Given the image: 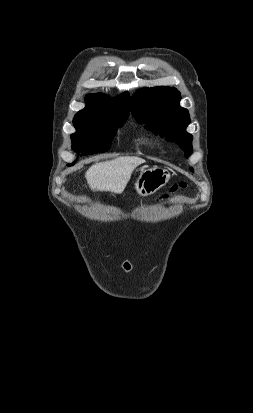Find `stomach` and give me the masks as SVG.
<instances>
[{
    "label": "stomach",
    "instance_id": "obj_1",
    "mask_svg": "<svg viewBox=\"0 0 253 413\" xmlns=\"http://www.w3.org/2000/svg\"><path fill=\"white\" fill-rule=\"evenodd\" d=\"M170 179V172L161 167L141 170L135 182V189L140 196H148L165 186Z\"/></svg>",
    "mask_w": 253,
    "mask_h": 413
}]
</instances>
